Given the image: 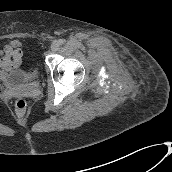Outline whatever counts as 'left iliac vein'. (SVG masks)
<instances>
[{"label":"left iliac vein","instance_id":"1","mask_svg":"<svg viewBox=\"0 0 172 172\" xmlns=\"http://www.w3.org/2000/svg\"><path fill=\"white\" fill-rule=\"evenodd\" d=\"M59 46H60L59 42H58V41H54V42L52 43V45H51V49H52L53 51H57V50L59 49Z\"/></svg>","mask_w":172,"mask_h":172}]
</instances>
